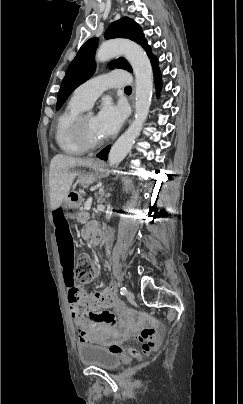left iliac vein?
<instances>
[{
    "mask_svg": "<svg viewBox=\"0 0 243 404\" xmlns=\"http://www.w3.org/2000/svg\"><path fill=\"white\" fill-rule=\"evenodd\" d=\"M134 298H135V296H134L133 292H132V291H128V293H127V299H128L129 301H132V300H134Z\"/></svg>",
    "mask_w": 243,
    "mask_h": 404,
    "instance_id": "4c4485c4",
    "label": "left iliac vein"
}]
</instances>
